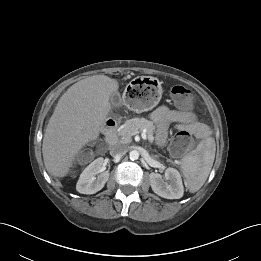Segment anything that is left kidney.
Instances as JSON below:
<instances>
[{
	"label": "left kidney",
	"instance_id": "obj_1",
	"mask_svg": "<svg viewBox=\"0 0 261 261\" xmlns=\"http://www.w3.org/2000/svg\"><path fill=\"white\" fill-rule=\"evenodd\" d=\"M149 178L152 190L160 197L180 199L183 196L182 178L175 168H167L163 178L158 173H150Z\"/></svg>",
	"mask_w": 261,
	"mask_h": 261
}]
</instances>
